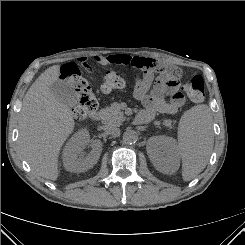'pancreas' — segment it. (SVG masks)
Listing matches in <instances>:
<instances>
[{"instance_id":"obj_1","label":"pancreas","mask_w":245,"mask_h":245,"mask_svg":"<svg viewBox=\"0 0 245 245\" xmlns=\"http://www.w3.org/2000/svg\"><path fill=\"white\" fill-rule=\"evenodd\" d=\"M101 119L105 125L118 126L125 120V117L123 112L120 110L119 105L114 103L110 107H106L101 110ZM163 124L167 127H170L172 121L166 119L163 121Z\"/></svg>"}]
</instances>
